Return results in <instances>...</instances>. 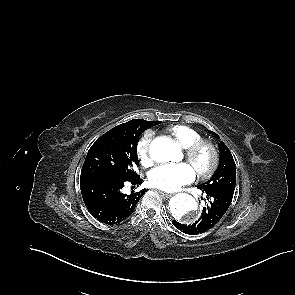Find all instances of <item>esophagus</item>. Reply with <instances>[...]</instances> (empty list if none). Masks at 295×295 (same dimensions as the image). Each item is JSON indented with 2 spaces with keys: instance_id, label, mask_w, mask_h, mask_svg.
Listing matches in <instances>:
<instances>
[{
  "instance_id": "esophagus-1",
  "label": "esophagus",
  "mask_w": 295,
  "mask_h": 295,
  "mask_svg": "<svg viewBox=\"0 0 295 295\" xmlns=\"http://www.w3.org/2000/svg\"><path fill=\"white\" fill-rule=\"evenodd\" d=\"M159 193H160L163 197H165V198H170V197L173 196L172 194H170V193H165V192H163V191H159Z\"/></svg>"
}]
</instances>
